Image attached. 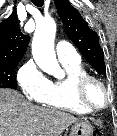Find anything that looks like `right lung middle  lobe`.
Masks as SVG:
<instances>
[{"instance_id": "right-lung-middle-lobe-1", "label": "right lung middle lobe", "mask_w": 117, "mask_h": 136, "mask_svg": "<svg viewBox=\"0 0 117 136\" xmlns=\"http://www.w3.org/2000/svg\"><path fill=\"white\" fill-rule=\"evenodd\" d=\"M19 62H0V88L16 89L15 68Z\"/></svg>"}]
</instances>
